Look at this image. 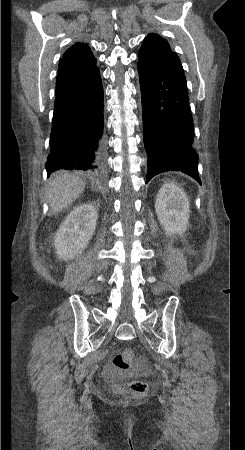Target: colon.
<instances>
[{"mask_svg": "<svg viewBox=\"0 0 245 450\" xmlns=\"http://www.w3.org/2000/svg\"><path fill=\"white\" fill-rule=\"evenodd\" d=\"M134 354L132 350L125 349L118 352L113 357V365L119 372L127 371L133 362ZM113 388L116 391H129L135 395H143L148 391V385L146 382L133 380L125 384L114 383Z\"/></svg>", "mask_w": 245, "mask_h": 450, "instance_id": "colon-1", "label": "colon"}]
</instances>
